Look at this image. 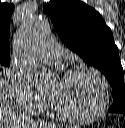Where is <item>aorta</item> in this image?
I'll return each mask as SVG.
<instances>
[{
    "mask_svg": "<svg viewBox=\"0 0 125 128\" xmlns=\"http://www.w3.org/2000/svg\"><path fill=\"white\" fill-rule=\"evenodd\" d=\"M49 33V25L44 20L27 18L14 40L18 66L41 90L48 89L53 84L51 72L42 64L38 56V50Z\"/></svg>",
    "mask_w": 125,
    "mask_h": 128,
    "instance_id": "obj_1",
    "label": "aorta"
}]
</instances>
